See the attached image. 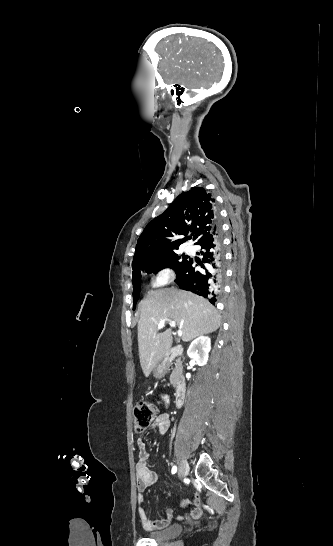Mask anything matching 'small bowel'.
<instances>
[{
    "instance_id": "small-bowel-1",
    "label": "small bowel",
    "mask_w": 333,
    "mask_h": 546,
    "mask_svg": "<svg viewBox=\"0 0 333 546\" xmlns=\"http://www.w3.org/2000/svg\"><path fill=\"white\" fill-rule=\"evenodd\" d=\"M161 400L164 404V407H167L169 404V397L166 394H161ZM153 427L159 432V434H165L170 427V416L168 413L159 414L155 420ZM138 462L136 464V478H137V501H138V516L142 525L146 529L157 530L166 527L173 516V510L171 508L166 509L164 517L160 519H149L147 517L145 508H144V491L155 484L157 475L156 473L149 468L148 458L149 453L147 450L146 443L142 439H138ZM184 506L194 505V508L190 512V517L197 518L201 515V504L200 500H196L192 503L190 500L184 501ZM183 518V516H180Z\"/></svg>"
}]
</instances>
